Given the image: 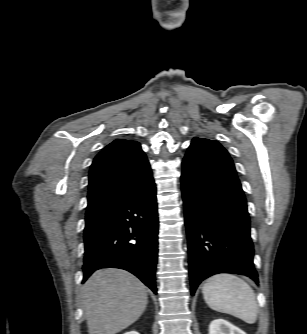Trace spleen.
I'll return each instance as SVG.
<instances>
[{
	"instance_id": "1",
	"label": "spleen",
	"mask_w": 307,
	"mask_h": 334,
	"mask_svg": "<svg viewBox=\"0 0 307 334\" xmlns=\"http://www.w3.org/2000/svg\"><path fill=\"white\" fill-rule=\"evenodd\" d=\"M202 293L211 309L233 315L249 324L256 322V297L243 279L231 274L214 275L206 280Z\"/></svg>"
}]
</instances>
